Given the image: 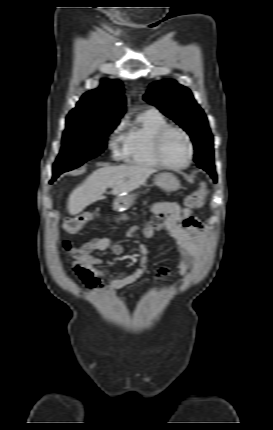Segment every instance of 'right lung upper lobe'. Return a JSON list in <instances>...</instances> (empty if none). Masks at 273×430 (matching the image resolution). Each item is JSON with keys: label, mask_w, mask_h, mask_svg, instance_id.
I'll return each instance as SVG.
<instances>
[{"label": "right lung upper lobe", "mask_w": 273, "mask_h": 430, "mask_svg": "<svg viewBox=\"0 0 273 430\" xmlns=\"http://www.w3.org/2000/svg\"><path fill=\"white\" fill-rule=\"evenodd\" d=\"M125 112L122 83L118 80H102L99 88L86 92L69 115L86 119L116 120Z\"/></svg>", "instance_id": "cb5924a9"}]
</instances>
